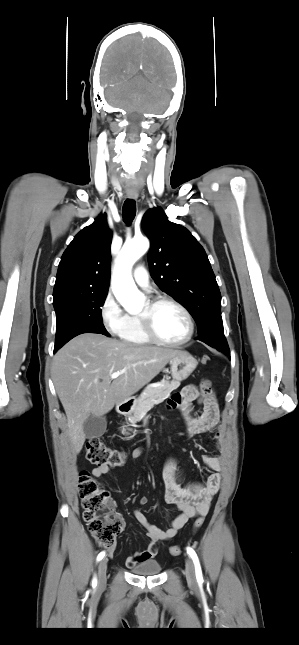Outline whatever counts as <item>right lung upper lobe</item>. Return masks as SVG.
I'll return each instance as SVG.
<instances>
[{"mask_svg":"<svg viewBox=\"0 0 299 645\" xmlns=\"http://www.w3.org/2000/svg\"><path fill=\"white\" fill-rule=\"evenodd\" d=\"M111 242L112 232L102 215L74 237L59 263L54 301L67 294L108 291Z\"/></svg>","mask_w":299,"mask_h":645,"instance_id":"right-lung-upper-lobe-1","label":"right lung upper lobe"}]
</instances>
